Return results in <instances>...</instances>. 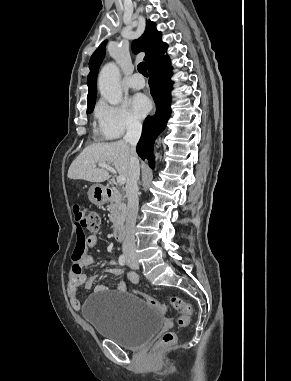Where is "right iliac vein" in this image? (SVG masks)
<instances>
[{
    "mask_svg": "<svg viewBox=\"0 0 291 381\" xmlns=\"http://www.w3.org/2000/svg\"><path fill=\"white\" fill-rule=\"evenodd\" d=\"M130 259H133L134 257L133 256H129Z\"/></svg>",
    "mask_w": 291,
    "mask_h": 381,
    "instance_id": "right-iliac-vein-1",
    "label": "right iliac vein"
}]
</instances>
